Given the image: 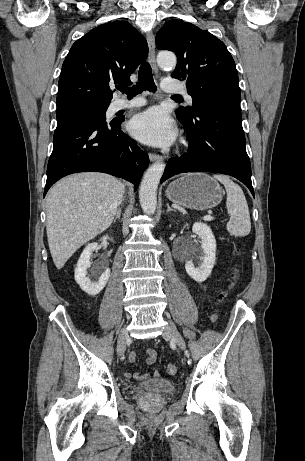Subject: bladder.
I'll return each instance as SVG.
<instances>
[{"label":"bladder","instance_id":"1","mask_svg":"<svg viewBox=\"0 0 305 461\" xmlns=\"http://www.w3.org/2000/svg\"><path fill=\"white\" fill-rule=\"evenodd\" d=\"M138 388L148 393H174L176 385L173 381L156 378L142 381L139 383Z\"/></svg>","mask_w":305,"mask_h":461}]
</instances>
